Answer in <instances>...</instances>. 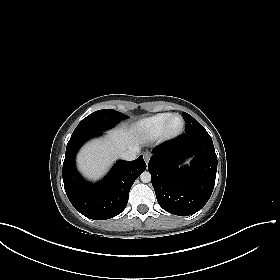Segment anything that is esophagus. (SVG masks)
<instances>
[{
  "instance_id": "obj_1",
  "label": "esophagus",
  "mask_w": 280,
  "mask_h": 280,
  "mask_svg": "<svg viewBox=\"0 0 280 280\" xmlns=\"http://www.w3.org/2000/svg\"><path fill=\"white\" fill-rule=\"evenodd\" d=\"M149 159H150V153L149 152L144 153V160L146 163L149 162Z\"/></svg>"
}]
</instances>
